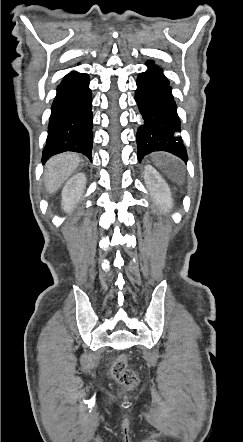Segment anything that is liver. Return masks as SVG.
Instances as JSON below:
<instances>
[{"label":"liver","mask_w":243,"mask_h":442,"mask_svg":"<svg viewBox=\"0 0 243 442\" xmlns=\"http://www.w3.org/2000/svg\"><path fill=\"white\" fill-rule=\"evenodd\" d=\"M80 162V155L74 152L53 156L45 166L44 184L47 191L54 194L73 174Z\"/></svg>","instance_id":"liver-1"}]
</instances>
